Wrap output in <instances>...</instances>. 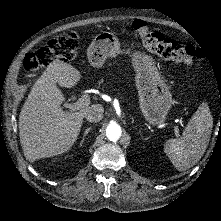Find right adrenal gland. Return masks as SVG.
I'll use <instances>...</instances> for the list:
<instances>
[{"label":"right adrenal gland","instance_id":"right-adrenal-gland-1","mask_svg":"<svg viewBox=\"0 0 221 221\" xmlns=\"http://www.w3.org/2000/svg\"><path fill=\"white\" fill-rule=\"evenodd\" d=\"M90 130H91V127H87V128L84 130V132H83V137H82L81 142L79 143V146H82L83 141H84L86 135L89 133Z\"/></svg>","mask_w":221,"mask_h":221}]
</instances>
